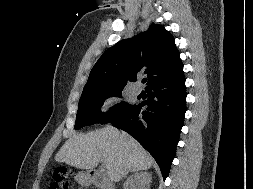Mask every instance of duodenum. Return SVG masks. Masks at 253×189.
I'll use <instances>...</instances> for the list:
<instances>
[{"mask_svg": "<svg viewBox=\"0 0 253 189\" xmlns=\"http://www.w3.org/2000/svg\"><path fill=\"white\" fill-rule=\"evenodd\" d=\"M83 185H95L100 189H112L108 178L97 170H89L81 175Z\"/></svg>", "mask_w": 253, "mask_h": 189, "instance_id": "1", "label": "duodenum"}]
</instances>
